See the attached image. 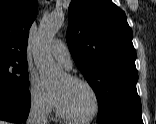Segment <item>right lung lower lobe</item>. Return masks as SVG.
Listing matches in <instances>:
<instances>
[{
  "mask_svg": "<svg viewBox=\"0 0 156 124\" xmlns=\"http://www.w3.org/2000/svg\"><path fill=\"white\" fill-rule=\"evenodd\" d=\"M30 95L0 88V120L13 123L24 122L30 111Z\"/></svg>",
  "mask_w": 156,
  "mask_h": 124,
  "instance_id": "1",
  "label": "right lung lower lobe"
}]
</instances>
